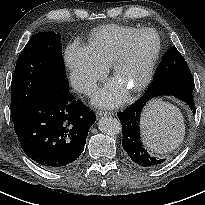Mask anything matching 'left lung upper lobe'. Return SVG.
Instances as JSON below:
<instances>
[{
	"label": "left lung upper lobe",
	"mask_w": 205,
	"mask_h": 205,
	"mask_svg": "<svg viewBox=\"0 0 205 205\" xmlns=\"http://www.w3.org/2000/svg\"><path fill=\"white\" fill-rule=\"evenodd\" d=\"M190 72L189 67L183 56L179 53L175 46L168 49L164 58L159 65L154 80H158L167 76Z\"/></svg>",
	"instance_id": "obj_1"
}]
</instances>
